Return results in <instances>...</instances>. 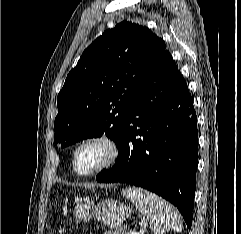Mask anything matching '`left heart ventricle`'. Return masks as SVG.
<instances>
[{
  "mask_svg": "<svg viewBox=\"0 0 241 234\" xmlns=\"http://www.w3.org/2000/svg\"><path fill=\"white\" fill-rule=\"evenodd\" d=\"M107 155L101 144L91 143L82 147L76 158V166L80 171H89L102 163Z\"/></svg>",
  "mask_w": 241,
  "mask_h": 234,
  "instance_id": "left-heart-ventricle-1",
  "label": "left heart ventricle"
}]
</instances>
